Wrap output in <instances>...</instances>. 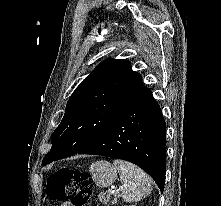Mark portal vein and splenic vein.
I'll return each instance as SVG.
<instances>
[{
  "mask_svg": "<svg viewBox=\"0 0 221 206\" xmlns=\"http://www.w3.org/2000/svg\"><path fill=\"white\" fill-rule=\"evenodd\" d=\"M119 190H120V189H119ZM108 193H109V194H113V193H115V189H112V188L109 189V190H108Z\"/></svg>",
  "mask_w": 221,
  "mask_h": 206,
  "instance_id": "18ae733b",
  "label": "portal vein and splenic vein"
}]
</instances>
